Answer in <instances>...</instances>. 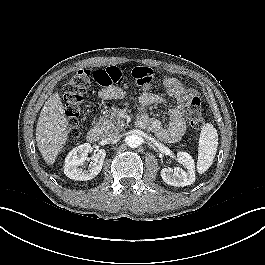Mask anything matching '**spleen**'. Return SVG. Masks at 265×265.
Masks as SVG:
<instances>
[{"label": "spleen", "mask_w": 265, "mask_h": 265, "mask_svg": "<svg viewBox=\"0 0 265 265\" xmlns=\"http://www.w3.org/2000/svg\"><path fill=\"white\" fill-rule=\"evenodd\" d=\"M218 147V134L217 130L210 123L202 127L199 147H198V160L197 170L198 173L203 174L213 164L216 151Z\"/></svg>", "instance_id": "obj_1"}]
</instances>
